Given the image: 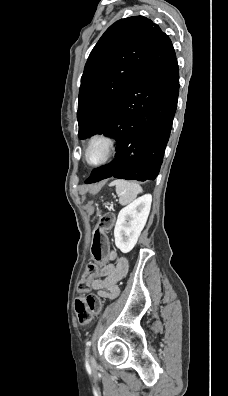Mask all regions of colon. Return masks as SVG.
Segmentation results:
<instances>
[{"mask_svg":"<svg viewBox=\"0 0 228 396\" xmlns=\"http://www.w3.org/2000/svg\"><path fill=\"white\" fill-rule=\"evenodd\" d=\"M115 217L113 214H105L100 217L94 232L91 247V253L96 263L90 264L77 284V292L79 296L75 300V312L78 321L82 325L90 323L91 318L101 312V300L92 294H87L93 278L98 273V265L105 258V250L107 244L106 233L113 227Z\"/></svg>","mask_w":228,"mask_h":396,"instance_id":"5ec220e1","label":"colon"}]
</instances>
